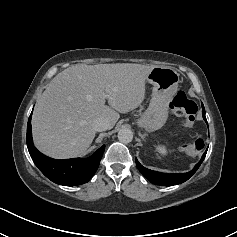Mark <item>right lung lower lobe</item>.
I'll list each match as a JSON object with an SVG mask.
<instances>
[{
	"instance_id": "1",
	"label": "right lung lower lobe",
	"mask_w": 237,
	"mask_h": 237,
	"mask_svg": "<svg viewBox=\"0 0 237 237\" xmlns=\"http://www.w3.org/2000/svg\"><path fill=\"white\" fill-rule=\"evenodd\" d=\"M26 142L30 156L38 169L54 183L66 186L88 182L95 174L105 149L103 145L86 159L56 160L49 158L40 153L33 145L31 115L27 125Z\"/></svg>"
}]
</instances>
